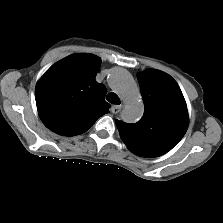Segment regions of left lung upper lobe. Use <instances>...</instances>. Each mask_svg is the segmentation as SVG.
<instances>
[{
  "mask_svg": "<svg viewBox=\"0 0 223 223\" xmlns=\"http://www.w3.org/2000/svg\"><path fill=\"white\" fill-rule=\"evenodd\" d=\"M145 109L136 124L115 120L127 148L142 157H158L184 136L189 118L183 94L166 73L148 69L138 74Z\"/></svg>",
  "mask_w": 223,
  "mask_h": 223,
  "instance_id": "1",
  "label": "left lung upper lobe"
}]
</instances>
